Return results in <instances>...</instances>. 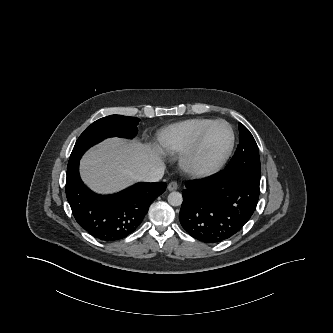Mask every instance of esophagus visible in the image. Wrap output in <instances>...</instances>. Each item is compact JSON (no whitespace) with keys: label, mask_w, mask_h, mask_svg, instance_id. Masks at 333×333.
<instances>
[{"label":"esophagus","mask_w":333,"mask_h":333,"mask_svg":"<svg viewBox=\"0 0 333 333\" xmlns=\"http://www.w3.org/2000/svg\"><path fill=\"white\" fill-rule=\"evenodd\" d=\"M178 187H179L178 183L176 181H172L168 184L167 188L169 191H175L178 189Z\"/></svg>","instance_id":"34e87169"}]
</instances>
